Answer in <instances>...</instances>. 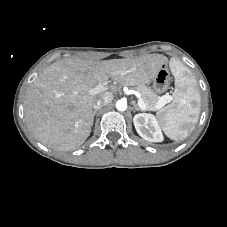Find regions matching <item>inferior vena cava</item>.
Here are the masks:
<instances>
[{"mask_svg":"<svg viewBox=\"0 0 227 227\" xmlns=\"http://www.w3.org/2000/svg\"><path fill=\"white\" fill-rule=\"evenodd\" d=\"M113 100L112 93H106L104 94L100 99L97 100V102L93 105V108L95 110L102 108L103 106L108 105Z\"/></svg>","mask_w":227,"mask_h":227,"instance_id":"1","label":"inferior vena cava"}]
</instances>
